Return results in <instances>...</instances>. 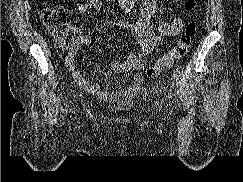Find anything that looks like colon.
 <instances>
[{"label":"colon","instance_id":"5ec220e1","mask_svg":"<svg viewBox=\"0 0 243 182\" xmlns=\"http://www.w3.org/2000/svg\"><path fill=\"white\" fill-rule=\"evenodd\" d=\"M196 7V0H186L185 9L187 11H194ZM39 15L47 31L53 37L58 54L64 59L73 58L77 50V41L75 30L70 25L69 10L61 5L49 6L43 8ZM195 34V24L188 22L178 42L167 55L147 68L146 76L148 78L156 77L171 68L177 60L184 57L192 44Z\"/></svg>","mask_w":243,"mask_h":182}]
</instances>
